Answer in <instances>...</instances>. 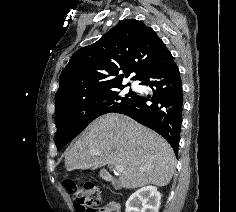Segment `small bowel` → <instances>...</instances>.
<instances>
[{
    "instance_id": "c3829d8e",
    "label": "small bowel",
    "mask_w": 236,
    "mask_h": 212,
    "mask_svg": "<svg viewBox=\"0 0 236 212\" xmlns=\"http://www.w3.org/2000/svg\"><path fill=\"white\" fill-rule=\"evenodd\" d=\"M102 212H121L120 205L116 202L109 203Z\"/></svg>"
}]
</instances>
